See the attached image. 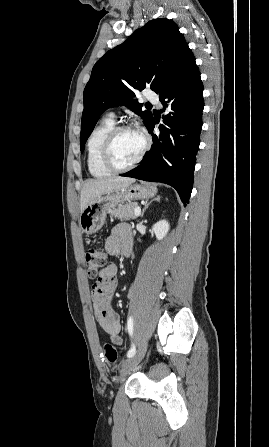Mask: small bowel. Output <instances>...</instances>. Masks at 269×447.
<instances>
[{"label":"small bowel","instance_id":"small-bowel-1","mask_svg":"<svg viewBox=\"0 0 269 447\" xmlns=\"http://www.w3.org/2000/svg\"><path fill=\"white\" fill-rule=\"evenodd\" d=\"M132 248V238L125 225L116 226L106 243L107 251L116 255L120 249L128 253ZM117 286V266L110 264L98 276L90 298L94 308V316L98 325L110 336L111 341L118 346L123 344L120 336L121 318L112 310L113 294Z\"/></svg>","mask_w":269,"mask_h":447}]
</instances>
